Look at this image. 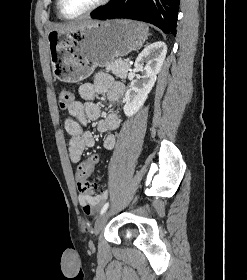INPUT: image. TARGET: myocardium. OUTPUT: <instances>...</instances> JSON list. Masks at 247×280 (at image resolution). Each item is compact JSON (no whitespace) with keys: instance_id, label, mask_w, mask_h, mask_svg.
Listing matches in <instances>:
<instances>
[{"instance_id":"myocardium-1","label":"myocardium","mask_w":247,"mask_h":280,"mask_svg":"<svg viewBox=\"0 0 247 280\" xmlns=\"http://www.w3.org/2000/svg\"><path fill=\"white\" fill-rule=\"evenodd\" d=\"M110 0H99L98 2H96L93 6H91L90 8H88L87 10H85L84 12L75 15V16H70L67 15L64 12L63 9V0H57V10L58 13L60 15L61 18L65 19V20H76V19H80L83 17H86L88 15H90L91 13H93L94 11L98 10L99 8L103 7L104 5H106Z\"/></svg>"}]
</instances>
